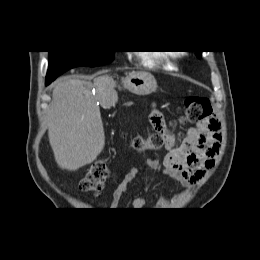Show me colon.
Instances as JSON below:
<instances>
[{
  "instance_id": "obj_1",
  "label": "colon",
  "mask_w": 260,
  "mask_h": 260,
  "mask_svg": "<svg viewBox=\"0 0 260 260\" xmlns=\"http://www.w3.org/2000/svg\"><path fill=\"white\" fill-rule=\"evenodd\" d=\"M213 118V110L210 101L206 97L191 96L185 100V110L182 117L186 122H201ZM168 134L161 131L150 133L147 137L136 135L130 143L137 152L146 150L158 151L167 144ZM110 172L107 161L103 158L93 162L88 168L85 176L80 181V189L85 192L98 194L102 191Z\"/></svg>"
}]
</instances>
